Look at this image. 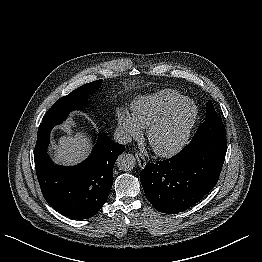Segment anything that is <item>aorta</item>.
I'll list each match as a JSON object with an SVG mask.
<instances>
[{
	"instance_id": "762f6f07",
	"label": "aorta",
	"mask_w": 262,
	"mask_h": 262,
	"mask_svg": "<svg viewBox=\"0 0 262 262\" xmlns=\"http://www.w3.org/2000/svg\"><path fill=\"white\" fill-rule=\"evenodd\" d=\"M117 167L123 171L132 170L136 165V160L132 154L123 153L117 158Z\"/></svg>"
}]
</instances>
